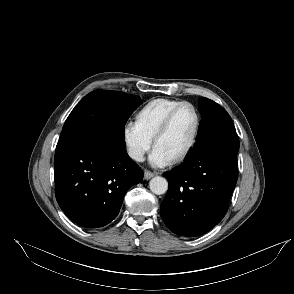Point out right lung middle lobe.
Returning a JSON list of instances; mask_svg holds the SVG:
<instances>
[{
  "instance_id": "obj_1",
  "label": "right lung middle lobe",
  "mask_w": 294,
  "mask_h": 294,
  "mask_svg": "<svg viewBox=\"0 0 294 294\" xmlns=\"http://www.w3.org/2000/svg\"><path fill=\"white\" fill-rule=\"evenodd\" d=\"M140 103L139 96L118 91L96 90L89 93L65 121L56 148L78 140L124 139V126Z\"/></svg>"
}]
</instances>
